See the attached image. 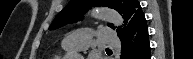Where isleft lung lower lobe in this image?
<instances>
[{
	"label": "left lung lower lobe",
	"mask_w": 193,
	"mask_h": 59,
	"mask_svg": "<svg viewBox=\"0 0 193 59\" xmlns=\"http://www.w3.org/2000/svg\"><path fill=\"white\" fill-rule=\"evenodd\" d=\"M119 38L123 50L121 59H150L148 28L143 12L133 15Z\"/></svg>",
	"instance_id": "left-lung-lower-lobe-1"
}]
</instances>
